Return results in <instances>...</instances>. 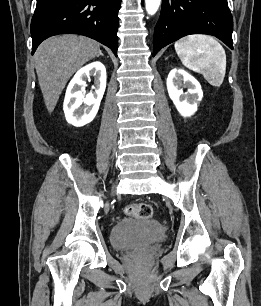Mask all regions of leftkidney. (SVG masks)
Masks as SVG:
<instances>
[{
	"label": "left kidney",
	"mask_w": 261,
	"mask_h": 306,
	"mask_svg": "<svg viewBox=\"0 0 261 306\" xmlns=\"http://www.w3.org/2000/svg\"><path fill=\"white\" fill-rule=\"evenodd\" d=\"M183 88H188L183 92ZM167 90L170 99L183 117H190L197 111L203 91L200 83L182 69H173L167 78Z\"/></svg>",
	"instance_id": "5707ae66"
}]
</instances>
